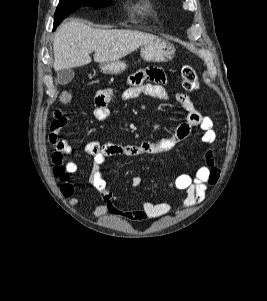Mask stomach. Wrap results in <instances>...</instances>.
<instances>
[{"label": "stomach", "instance_id": "obj_1", "mask_svg": "<svg viewBox=\"0 0 267 301\" xmlns=\"http://www.w3.org/2000/svg\"><path fill=\"white\" fill-rule=\"evenodd\" d=\"M175 47L172 43L164 39H156L150 43L142 45L141 57L148 62H168L175 55ZM100 69L104 74L117 75L126 69V64L120 60L102 63Z\"/></svg>", "mask_w": 267, "mask_h": 301}]
</instances>
